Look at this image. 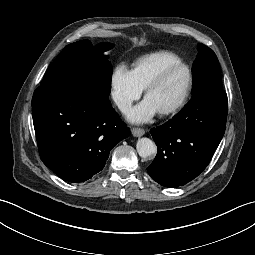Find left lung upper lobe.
<instances>
[{
  "label": "left lung upper lobe",
  "mask_w": 255,
  "mask_h": 255,
  "mask_svg": "<svg viewBox=\"0 0 255 255\" xmlns=\"http://www.w3.org/2000/svg\"><path fill=\"white\" fill-rule=\"evenodd\" d=\"M198 51L192 66L194 95L208 87L222 88L221 72L216 54L203 44H198Z\"/></svg>",
  "instance_id": "1"
}]
</instances>
